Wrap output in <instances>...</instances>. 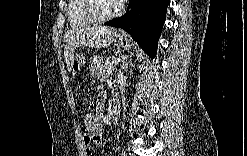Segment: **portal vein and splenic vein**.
Here are the masks:
<instances>
[{"label": "portal vein and splenic vein", "mask_w": 247, "mask_h": 156, "mask_svg": "<svg viewBox=\"0 0 247 156\" xmlns=\"http://www.w3.org/2000/svg\"><path fill=\"white\" fill-rule=\"evenodd\" d=\"M118 62H120V59L115 60L113 63L117 64Z\"/></svg>", "instance_id": "1"}]
</instances>
